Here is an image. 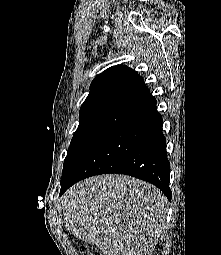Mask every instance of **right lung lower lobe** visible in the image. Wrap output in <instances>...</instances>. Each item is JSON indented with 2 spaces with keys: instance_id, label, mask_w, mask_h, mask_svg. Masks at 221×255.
<instances>
[{
  "instance_id": "obj_1",
  "label": "right lung lower lobe",
  "mask_w": 221,
  "mask_h": 255,
  "mask_svg": "<svg viewBox=\"0 0 221 255\" xmlns=\"http://www.w3.org/2000/svg\"><path fill=\"white\" fill-rule=\"evenodd\" d=\"M106 173L127 174L152 183L171 201L162 117L150 90L116 109L61 179L60 195L80 180Z\"/></svg>"
}]
</instances>
